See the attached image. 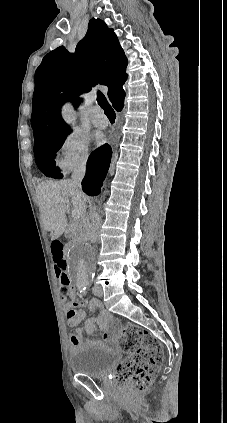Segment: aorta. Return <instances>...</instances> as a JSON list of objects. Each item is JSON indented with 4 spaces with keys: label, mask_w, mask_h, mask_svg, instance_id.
<instances>
[{
    "label": "aorta",
    "mask_w": 227,
    "mask_h": 423,
    "mask_svg": "<svg viewBox=\"0 0 227 423\" xmlns=\"http://www.w3.org/2000/svg\"><path fill=\"white\" fill-rule=\"evenodd\" d=\"M62 116L72 124L75 116L72 106L66 104L62 108ZM95 269V251L90 245L82 243L71 249L67 258V273L77 286H87L93 278Z\"/></svg>",
    "instance_id": "1"
}]
</instances>
